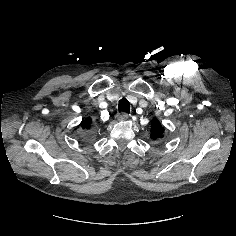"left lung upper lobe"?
Listing matches in <instances>:
<instances>
[{"label": "left lung upper lobe", "instance_id": "left-lung-upper-lobe-1", "mask_svg": "<svg viewBox=\"0 0 236 236\" xmlns=\"http://www.w3.org/2000/svg\"><path fill=\"white\" fill-rule=\"evenodd\" d=\"M163 132H164V128L162 127V125L160 124L158 119L154 118L152 120V124H151V138L153 140H157L158 138H162Z\"/></svg>", "mask_w": 236, "mask_h": 236}]
</instances>
